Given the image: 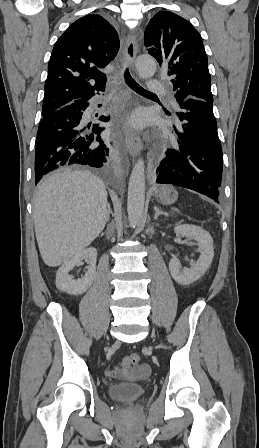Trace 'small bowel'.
Instances as JSON below:
<instances>
[{"mask_svg":"<svg viewBox=\"0 0 259 448\" xmlns=\"http://www.w3.org/2000/svg\"><path fill=\"white\" fill-rule=\"evenodd\" d=\"M150 373L148 364L143 363L132 367L128 357H125L121 362L113 368L107 369L105 374L110 378H125L128 380H141L146 378Z\"/></svg>","mask_w":259,"mask_h":448,"instance_id":"obj_1","label":"small bowel"}]
</instances>
